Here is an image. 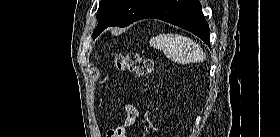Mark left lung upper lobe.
<instances>
[{
  "label": "left lung upper lobe",
  "mask_w": 280,
  "mask_h": 137,
  "mask_svg": "<svg viewBox=\"0 0 280 137\" xmlns=\"http://www.w3.org/2000/svg\"><path fill=\"white\" fill-rule=\"evenodd\" d=\"M160 0H101L97 11L99 25L93 33L97 37L109 26L126 27L139 20Z\"/></svg>",
  "instance_id": "1"
}]
</instances>
